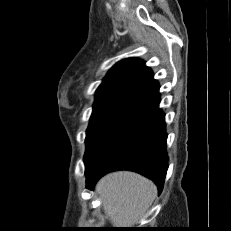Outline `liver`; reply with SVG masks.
Instances as JSON below:
<instances>
[{
	"instance_id": "obj_1",
	"label": "liver",
	"mask_w": 231,
	"mask_h": 231,
	"mask_svg": "<svg viewBox=\"0 0 231 231\" xmlns=\"http://www.w3.org/2000/svg\"><path fill=\"white\" fill-rule=\"evenodd\" d=\"M96 189L103 198L105 214L118 228H131L137 224L157 194L152 181L128 171L104 176Z\"/></svg>"
}]
</instances>
